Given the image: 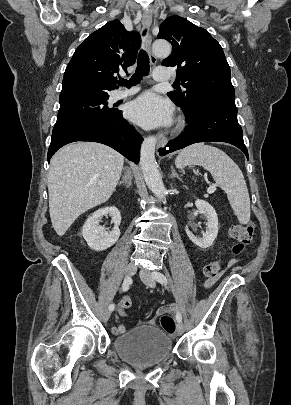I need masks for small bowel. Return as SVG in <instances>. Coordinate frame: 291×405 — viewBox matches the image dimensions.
Listing matches in <instances>:
<instances>
[{"mask_svg":"<svg viewBox=\"0 0 291 405\" xmlns=\"http://www.w3.org/2000/svg\"><path fill=\"white\" fill-rule=\"evenodd\" d=\"M234 263V260L230 261L229 265H232ZM213 283V280H209L206 282L205 286L209 287ZM176 307L173 305H167L164 307H161L157 314L158 315H163V314H172L175 313ZM117 312L120 316L122 317H128L129 315L125 312L124 308L119 304L117 307ZM126 331L125 327L122 324H114L111 326V332L114 335H120Z\"/></svg>","mask_w":291,"mask_h":405,"instance_id":"c3829d8e","label":"small bowel"}]
</instances>
